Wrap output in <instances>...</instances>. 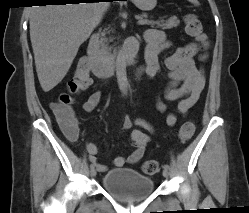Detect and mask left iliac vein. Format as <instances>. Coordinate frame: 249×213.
Instances as JSON below:
<instances>
[{"label":"left iliac vein","mask_w":249,"mask_h":213,"mask_svg":"<svg viewBox=\"0 0 249 213\" xmlns=\"http://www.w3.org/2000/svg\"><path fill=\"white\" fill-rule=\"evenodd\" d=\"M163 176H164L165 178H167V177L169 176L168 170H166V169L163 170Z\"/></svg>","instance_id":"4c4485c4"}]
</instances>
